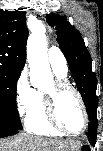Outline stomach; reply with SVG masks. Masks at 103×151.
Here are the masks:
<instances>
[{
  "mask_svg": "<svg viewBox=\"0 0 103 151\" xmlns=\"http://www.w3.org/2000/svg\"><path fill=\"white\" fill-rule=\"evenodd\" d=\"M64 151H82V147H80V148H77V149H71V150H64Z\"/></svg>",
  "mask_w": 103,
  "mask_h": 151,
  "instance_id": "0dacf381",
  "label": "stomach"
}]
</instances>
